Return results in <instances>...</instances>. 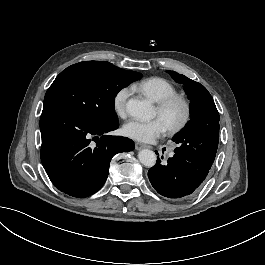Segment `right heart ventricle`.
<instances>
[{
  "mask_svg": "<svg viewBox=\"0 0 265 265\" xmlns=\"http://www.w3.org/2000/svg\"><path fill=\"white\" fill-rule=\"evenodd\" d=\"M131 88L150 98L155 103H159L164 98L176 94V88L167 79L159 76L139 79L132 83Z\"/></svg>",
  "mask_w": 265,
  "mask_h": 265,
  "instance_id": "e07e8e85",
  "label": "right heart ventricle"
}]
</instances>
